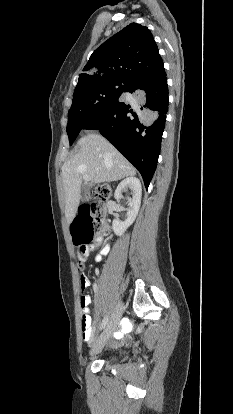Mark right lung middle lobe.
I'll use <instances>...</instances> for the list:
<instances>
[{
  "instance_id": "1",
  "label": "right lung middle lobe",
  "mask_w": 233,
  "mask_h": 414,
  "mask_svg": "<svg viewBox=\"0 0 233 414\" xmlns=\"http://www.w3.org/2000/svg\"><path fill=\"white\" fill-rule=\"evenodd\" d=\"M129 82L103 81L73 94L72 106L68 112L67 134L70 145L93 117L115 104Z\"/></svg>"
}]
</instances>
